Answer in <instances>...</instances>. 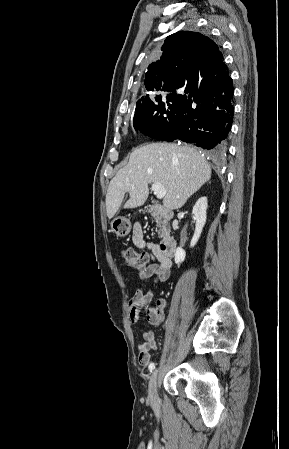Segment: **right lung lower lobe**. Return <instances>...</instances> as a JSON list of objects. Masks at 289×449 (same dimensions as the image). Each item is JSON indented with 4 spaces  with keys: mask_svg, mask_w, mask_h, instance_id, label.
I'll use <instances>...</instances> for the list:
<instances>
[{
    "mask_svg": "<svg viewBox=\"0 0 289 449\" xmlns=\"http://www.w3.org/2000/svg\"><path fill=\"white\" fill-rule=\"evenodd\" d=\"M181 87L188 95H179L172 123L153 138L170 142L179 139L220 153L225 149L234 115V88L227 66L205 81L186 82Z\"/></svg>",
    "mask_w": 289,
    "mask_h": 449,
    "instance_id": "1",
    "label": "right lung lower lobe"
}]
</instances>
